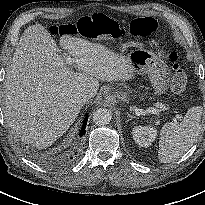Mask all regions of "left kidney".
Here are the masks:
<instances>
[{
	"mask_svg": "<svg viewBox=\"0 0 205 205\" xmlns=\"http://www.w3.org/2000/svg\"><path fill=\"white\" fill-rule=\"evenodd\" d=\"M134 141L141 147H149L156 139L157 131L151 126H135L132 130Z\"/></svg>",
	"mask_w": 205,
	"mask_h": 205,
	"instance_id": "1",
	"label": "left kidney"
}]
</instances>
